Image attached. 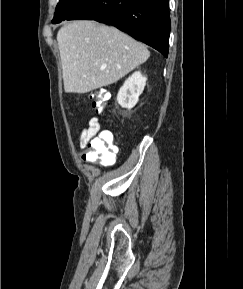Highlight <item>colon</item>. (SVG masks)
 <instances>
[{
  "mask_svg": "<svg viewBox=\"0 0 243 289\" xmlns=\"http://www.w3.org/2000/svg\"><path fill=\"white\" fill-rule=\"evenodd\" d=\"M93 109L96 113H102L109 99V94L104 90H96L91 93ZM116 146L113 143V135L110 131H102L96 138L88 143L83 160L87 162H101L112 164L115 160Z\"/></svg>",
  "mask_w": 243,
  "mask_h": 289,
  "instance_id": "1",
  "label": "colon"
}]
</instances>
